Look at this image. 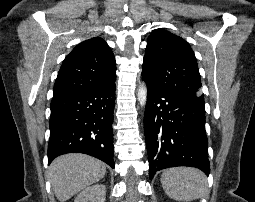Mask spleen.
Here are the masks:
<instances>
[{
    "label": "spleen",
    "instance_id": "obj_1",
    "mask_svg": "<svg viewBox=\"0 0 255 202\" xmlns=\"http://www.w3.org/2000/svg\"><path fill=\"white\" fill-rule=\"evenodd\" d=\"M161 183L165 193L177 201H192L207 193V180L201 171L189 167L163 171Z\"/></svg>",
    "mask_w": 255,
    "mask_h": 202
}]
</instances>
